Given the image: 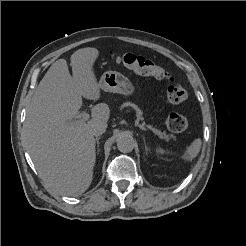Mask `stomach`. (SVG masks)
I'll return each mask as SVG.
<instances>
[{
	"mask_svg": "<svg viewBox=\"0 0 246 246\" xmlns=\"http://www.w3.org/2000/svg\"><path fill=\"white\" fill-rule=\"evenodd\" d=\"M99 86L105 92L119 93L126 96H131L135 91L132 82L117 71L105 72L100 78Z\"/></svg>",
	"mask_w": 246,
	"mask_h": 246,
	"instance_id": "stomach-1",
	"label": "stomach"
}]
</instances>
